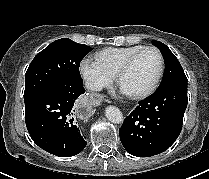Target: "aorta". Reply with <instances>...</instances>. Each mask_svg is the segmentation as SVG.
I'll return each instance as SVG.
<instances>
[{
	"label": "aorta",
	"mask_w": 209,
	"mask_h": 179,
	"mask_svg": "<svg viewBox=\"0 0 209 179\" xmlns=\"http://www.w3.org/2000/svg\"><path fill=\"white\" fill-rule=\"evenodd\" d=\"M105 115L112 123L119 124L123 121L122 112L115 106H108L105 109Z\"/></svg>",
	"instance_id": "1"
}]
</instances>
